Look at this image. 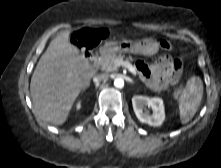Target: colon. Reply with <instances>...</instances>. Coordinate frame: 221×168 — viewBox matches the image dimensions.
<instances>
[{
  "label": "colon",
  "mask_w": 221,
  "mask_h": 168,
  "mask_svg": "<svg viewBox=\"0 0 221 168\" xmlns=\"http://www.w3.org/2000/svg\"><path fill=\"white\" fill-rule=\"evenodd\" d=\"M107 36V32L104 29H82L80 31L75 32L72 35V41L76 45L84 49H90L95 44L100 42ZM161 47L164 50H171L172 45L170 42L166 40H162L160 42ZM185 76H182V84L175 89L173 96L176 99H179L182 96V93L185 91Z\"/></svg>",
  "instance_id": "obj_1"
}]
</instances>
